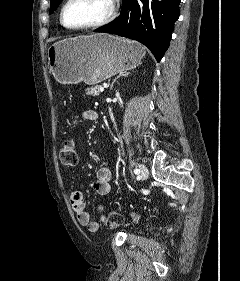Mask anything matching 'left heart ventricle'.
<instances>
[{"instance_id":"obj_1","label":"left heart ventricle","mask_w":240,"mask_h":281,"mask_svg":"<svg viewBox=\"0 0 240 281\" xmlns=\"http://www.w3.org/2000/svg\"><path fill=\"white\" fill-rule=\"evenodd\" d=\"M110 10L109 0H72L65 9L69 26H81L104 18Z\"/></svg>"}]
</instances>
